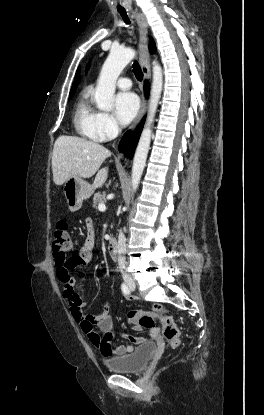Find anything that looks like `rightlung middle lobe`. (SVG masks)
<instances>
[{"instance_id": "right-lung-middle-lobe-1", "label": "right lung middle lobe", "mask_w": 264, "mask_h": 415, "mask_svg": "<svg viewBox=\"0 0 264 415\" xmlns=\"http://www.w3.org/2000/svg\"><path fill=\"white\" fill-rule=\"evenodd\" d=\"M72 98V96H69V99H71Z\"/></svg>"}]
</instances>
